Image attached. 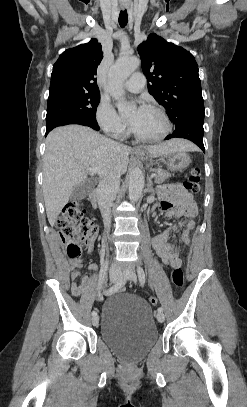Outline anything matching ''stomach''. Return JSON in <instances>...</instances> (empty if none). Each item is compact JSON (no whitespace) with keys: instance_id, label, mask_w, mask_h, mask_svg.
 Listing matches in <instances>:
<instances>
[{"instance_id":"1","label":"stomach","mask_w":247,"mask_h":407,"mask_svg":"<svg viewBox=\"0 0 247 407\" xmlns=\"http://www.w3.org/2000/svg\"><path fill=\"white\" fill-rule=\"evenodd\" d=\"M139 155L147 160L151 159L152 157L146 152H140ZM159 158L171 171H182L186 169L191 162V157L186 153V151L181 150L164 153L159 155Z\"/></svg>"}]
</instances>
